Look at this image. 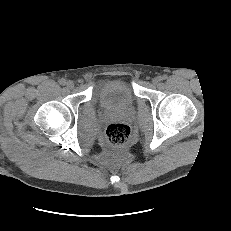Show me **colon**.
I'll list each match as a JSON object with an SVG mask.
<instances>
[{
  "instance_id": "1",
  "label": "colon",
  "mask_w": 231,
  "mask_h": 231,
  "mask_svg": "<svg viewBox=\"0 0 231 231\" xmlns=\"http://www.w3.org/2000/svg\"><path fill=\"white\" fill-rule=\"evenodd\" d=\"M130 137V127L124 123H114L107 127V141L115 147L124 146Z\"/></svg>"
}]
</instances>
